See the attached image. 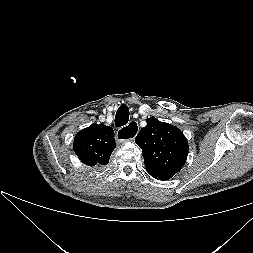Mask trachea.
Instances as JSON below:
<instances>
[{
    "label": "trachea",
    "mask_w": 253,
    "mask_h": 253,
    "mask_svg": "<svg viewBox=\"0 0 253 253\" xmlns=\"http://www.w3.org/2000/svg\"><path fill=\"white\" fill-rule=\"evenodd\" d=\"M129 120V109L126 105H121L115 115V125L121 127L126 125Z\"/></svg>",
    "instance_id": "3493384b"
}]
</instances>
